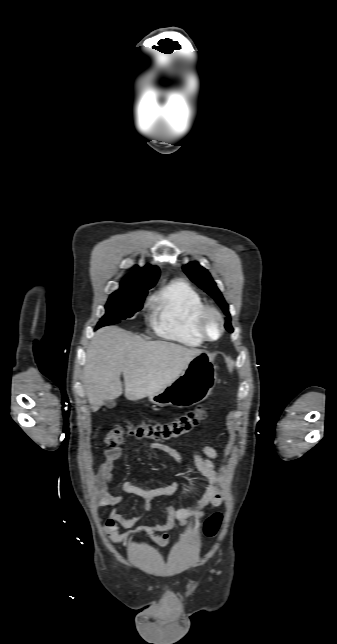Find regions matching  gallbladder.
<instances>
[{"mask_svg":"<svg viewBox=\"0 0 337 644\" xmlns=\"http://www.w3.org/2000/svg\"><path fill=\"white\" fill-rule=\"evenodd\" d=\"M104 404L109 409H112L116 406V402L114 400H106Z\"/></svg>","mask_w":337,"mask_h":644,"instance_id":"gallbladder-1","label":"gallbladder"}]
</instances>
